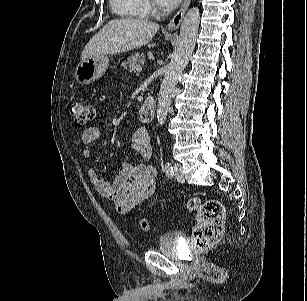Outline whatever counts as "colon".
Returning a JSON list of instances; mask_svg holds the SVG:
<instances>
[{"mask_svg":"<svg viewBox=\"0 0 307 301\" xmlns=\"http://www.w3.org/2000/svg\"><path fill=\"white\" fill-rule=\"evenodd\" d=\"M70 113L78 127H84L95 117L94 107L82 100L70 103ZM188 208L196 211V225L192 230V246L195 250H204L216 244L223 233L225 209L217 199L200 201L196 198L189 200ZM139 228L143 232L150 230L147 219H140Z\"/></svg>","mask_w":307,"mask_h":301,"instance_id":"5ec220e1","label":"colon"}]
</instances>
